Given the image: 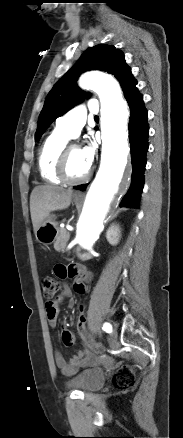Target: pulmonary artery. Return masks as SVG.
Segmentation results:
<instances>
[{
    "label": "pulmonary artery",
    "instance_id": "pulmonary-artery-1",
    "mask_svg": "<svg viewBox=\"0 0 183 438\" xmlns=\"http://www.w3.org/2000/svg\"><path fill=\"white\" fill-rule=\"evenodd\" d=\"M88 113H99V103L97 100H90L86 106L79 105L58 118L56 121V129L68 137H76L85 125Z\"/></svg>",
    "mask_w": 183,
    "mask_h": 438
}]
</instances>
